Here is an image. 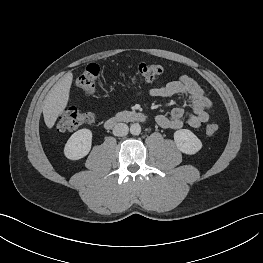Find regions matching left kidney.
<instances>
[{
    "instance_id": "5707ae66",
    "label": "left kidney",
    "mask_w": 263,
    "mask_h": 263,
    "mask_svg": "<svg viewBox=\"0 0 263 263\" xmlns=\"http://www.w3.org/2000/svg\"><path fill=\"white\" fill-rule=\"evenodd\" d=\"M177 148L189 155L196 154L202 148L201 140L190 130L180 129L174 133Z\"/></svg>"
}]
</instances>
